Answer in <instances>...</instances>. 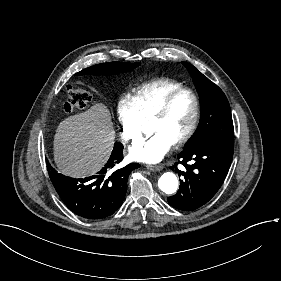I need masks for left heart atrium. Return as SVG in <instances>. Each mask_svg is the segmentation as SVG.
<instances>
[{
  "instance_id": "39dd6f15",
  "label": "left heart atrium",
  "mask_w": 281,
  "mask_h": 281,
  "mask_svg": "<svg viewBox=\"0 0 281 281\" xmlns=\"http://www.w3.org/2000/svg\"><path fill=\"white\" fill-rule=\"evenodd\" d=\"M172 142L161 133H152L134 144L131 157L139 162L154 164L160 162L168 153Z\"/></svg>"
}]
</instances>
